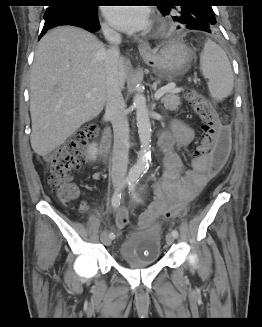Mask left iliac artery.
<instances>
[{
  "mask_svg": "<svg viewBox=\"0 0 262 327\" xmlns=\"http://www.w3.org/2000/svg\"><path fill=\"white\" fill-rule=\"evenodd\" d=\"M139 179H134L130 182L129 184V192L131 194V196L137 201V202H142V200L138 197L137 193L135 192V188L136 185L138 183ZM172 235L177 238L179 236L178 231L177 230H172Z\"/></svg>",
  "mask_w": 262,
  "mask_h": 327,
  "instance_id": "44dca946",
  "label": "left iliac artery"
}]
</instances>
